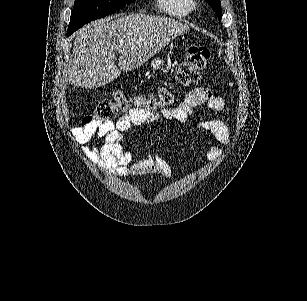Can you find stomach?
Wrapping results in <instances>:
<instances>
[{"label":"stomach","mask_w":307,"mask_h":301,"mask_svg":"<svg viewBox=\"0 0 307 301\" xmlns=\"http://www.w3.org/2000/svg\"><path fill=\"white\" fill-rule=\"evenodd\" d=\"M163 62L164 60H162V58H153V60H151L150 62V68L151 70H160V68H162L163 66Z\"/></svg>","instance_id":"1"}]
</instances>
